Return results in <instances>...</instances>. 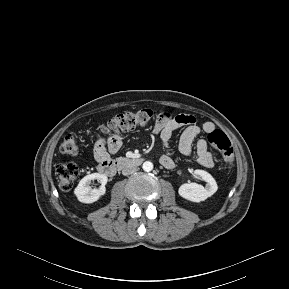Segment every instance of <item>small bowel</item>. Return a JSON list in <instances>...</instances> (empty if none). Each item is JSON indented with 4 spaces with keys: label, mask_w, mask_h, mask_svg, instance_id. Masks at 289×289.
Listing matches in <instances>:
<instances>
[{
    "label": "small bowel",
    "mask_w": 289,
    "mask_h": 289,
    "mask_svg": "<svg viewBox=\"0 0 289 289\" xmlns=\"http://www.w3.org/2000/svg\"><path fill=\"white\" fill-rule=\"evenodd\" d=\"M185 127L179 142V151L192 158L201 166L211 168L214 166V160L211 153L208 151V143L204 138L197 137L201 134H209L215 130L214 123L208 121L202 125L197 123V120L192 115L177 114L172 115L167 112L161 113L153 126V133L159 135L165 153L161 156V164L172 169L175 166L173 154L170 150V141L173 132L178 128ZM122 135L120 133L109 137L107 140H98L93 149L94 157L97 162L109 159L110 154H115L119 151L122 145ZM195 143V148H194Z\"/></svg>",
    "instance_id": "obj_1"
}]
</instances>
